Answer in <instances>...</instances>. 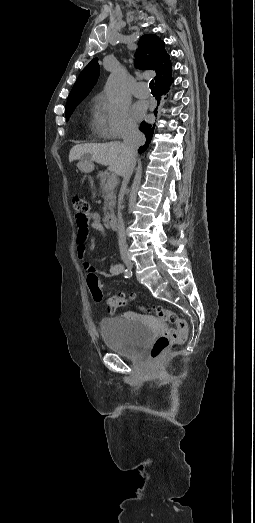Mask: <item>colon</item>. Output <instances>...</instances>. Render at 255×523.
Returning a JSON list of instances; mask_svg holds the SVG:
<instances>
[{"label": "colon", "mask_w": 255, "mask_h": 523, "mask_svg": "<svg viewBox=\"0 0 255 523\" xmlns=\"http://www.w3.org/2000/svg\"><path fill=\"white\" fill-rule=\"evenodd\" d=\"M72 204L76 213L77 223L80 225L86 224L88 221L87 215L90 211L89 203L84 198L77 196L73 198ZM87 284L93 299L97 302L105 299L110 310L124 307L132 301V297L123 294H113L104 298L98 276L94 273L88 274ZM151 312L159 320L170 326L162 331L152 344L151 357L158 358L171 345L182 344L186 341L188 336V325L179 314L161 306L152 307Z\"/></svg>", "instance_id": "colon-1"}]
</instances>
